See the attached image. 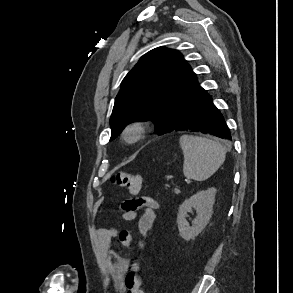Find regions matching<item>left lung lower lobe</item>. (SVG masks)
Wrapping results in <instances>:
<instances>
[{
	"label": "left lung lower lobe",
	"mask_w": 293,
	"mask_h": 293,
	"mask_svg": "<svg viewBox=\"0 0 293 293\" xmlns=\"http://www.w3.org/2000/svg\"><path fill=\"white\" fill-rule=\"evenodd\" d=\"M173 130L199 131L231 140L225 120L207 92L186 106Z\"/></svg>",
	"instance_id": "1"
}]
</instances>
